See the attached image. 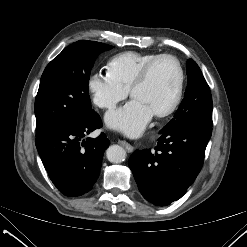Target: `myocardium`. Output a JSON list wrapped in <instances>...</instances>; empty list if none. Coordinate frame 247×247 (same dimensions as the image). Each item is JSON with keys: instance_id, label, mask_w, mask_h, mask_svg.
Instances as JSON below:
<instances>
[{"instance_id": "obj_1", "label": "myocardium", "mask_w": 247, "mask_h": 247, "mask_svg": "<svg viewBox=\"0 0 247 247\" xmlns=\"http://www.w3.org/2000/svg\"><path fill=\"white\" fill-rule=\"evenodd\" d=\"M161 59H170L172 60L178 70V80H177V86L174 93V96L170 103L162 110L153 112V115L158 117H165L169 114H171L179 105L182 94H183V84H184V71L181 65V62L179 59L171 54H160L156 55L154 58H152L150 61H148L142 69L139 71L135 79L133 80L131 86H130V95L133 97L135 90L146 80L148 74L150 73L152 67Z\"/></svg>"}]
</instances>
